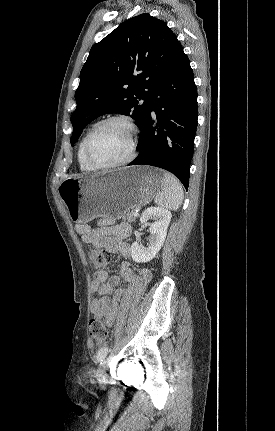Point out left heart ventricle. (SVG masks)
<instances>
[{"instance_id": "1", "label": "left heart ventricle", "mask_w": 275, "mask_h": 431, "mask_svg": "<svg viewBox=\"0 0 275 431\" xmlns=\"http://www.w3.org/2000/svg\"><path fill=\"white\" fill-rule=\"evenodd\" d=\"M131 146L130 132L120 122L104 125L93 136L89 155L98 164H112L127 157Z\"/></svg>"}]
</instances>
